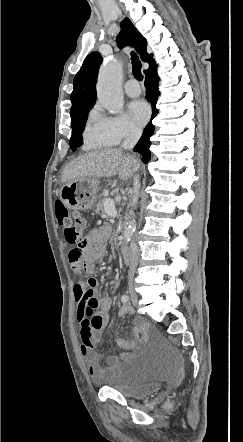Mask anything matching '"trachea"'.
Masks as SVG:
<instances>
[{
	"mask_svg": "<svg viewBox=\"0 0 243 442\" xmlns=\"http://www.w3.org/2000/svg\"><path fill=\"white\" fill-rule=\"evenodd\" d=\"M131 60H132V71L134 77L137 80L142 81L143 75L141 73V63L138 59V56L133 51L131 52Z\"/></svg>",
	"mask_w": 243,
	"mask_h": 442,
	"instance_id": "obj_1",
	"label": "trachea"
}]
</instances>
